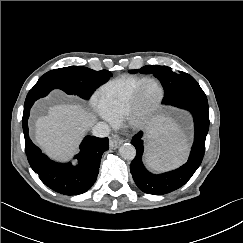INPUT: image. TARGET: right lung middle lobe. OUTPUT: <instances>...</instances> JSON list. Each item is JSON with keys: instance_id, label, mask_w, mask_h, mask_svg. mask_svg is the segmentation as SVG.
<instances>
[{"instance_id": "1", "label": "right lung middle lobe", "mask_w": 243, "mask_h": 243, "mask_svg": "<svg viewBox=\"0 0 243 243\" xmlns=\"http://www.w3.org/2000/svg\"><path fill=\"white\" fill-rule=\"evenodd\" d=\"M109 77L111 73L107 70L94 71L87 67L69 66L45 73L33 89H61L67 94L88 100Z\"/></svg>"}]
</instances>
